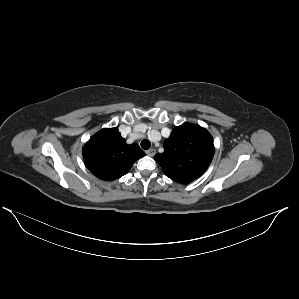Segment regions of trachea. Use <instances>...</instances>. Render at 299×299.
I'll list each match as a JSON object with an SVG mask.
<instances>
[{
    "label": "trachea",
    "instance_id": "1",
    "mask_svg": "<svg viewBox=\"0 0 299 299\" xmlns=\"http://www.w3.org/2000/svg\"><path fill=\"white\" fill-rule=\"evenodd\" d=\"M141 147L144 149V150H148L150 147H151V143L149 140L145 139L141 142Z\"/></svg>",
    "mask_w": 299,
    "mask_h": 299
}]
</instances>
